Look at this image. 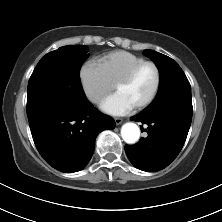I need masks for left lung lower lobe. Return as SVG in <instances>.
<instances>
[{"label":"left lung lower lobe","instance_id":"left-lung-lower-lobe-1","mask_svg":"<svg viewBox=\"0 0 222 222\" xmlns=\"http://www.w3.org/2000/svg\"><path fill=\"white\" fill-rule=\"evenodd\" d=\"M131 119L147 124L144 130L148 136L135 145L125 146L129 160L140 170L159 171L177 157L184 145L192 120V101L185 97H167Z\"/></svg>","mask_w":222,"mask_h":222}]
</instances>
